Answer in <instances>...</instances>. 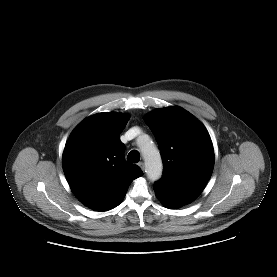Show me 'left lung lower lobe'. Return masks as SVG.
Here are the masks:
<instances>
[{"label":"left lung lower lobe","mask_w":277,"mask_h":277,"mask_svg":"<svg viewBox=\"0 0 277 277\" xmlns=\"http://www.w3.org/2000/svg\"><path fill=\"white\" fill-rule=\"evenodd\" d=\"M154 191L158 199L168 208L177 209L193 201L197 196L179 193L169 190L157 183L154 184Z\"/></svg>","instance_id":"0a47b994"}]
</instances>
